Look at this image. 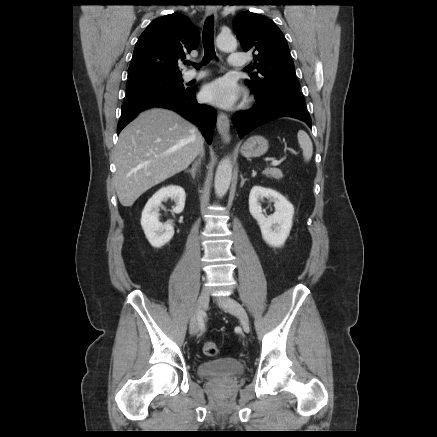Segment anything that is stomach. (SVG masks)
<instances>
[{
    "label": "stomach",
    "instance_id": "stomach-1",
    "mask_svg": "<svg viewBox=\"0 0 437 437\" xmlns=\"http://www.w3.org/2000/svg\"><path fill=\"white\" fill-rule=\"evenodd\" d=\"M268 148L267 139L262 136H251L243 143L240 152L246 158H256L264 155Z\"/></svg>",
    "mask_w": 437,
    "mask_h": 437
}]
</instances>
